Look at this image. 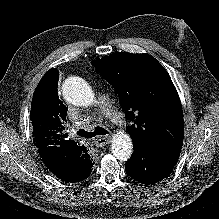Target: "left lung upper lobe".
Listing matches in <instances>:
<instances>
[{
  "label": "left lung upper lobe",
  "instance_id": "left-lung-upper-lobe-1",
  "mask_svg": "<svg viewBox=\"0 0 219 219\" xmlns=\"http://www.w3.org/2000/svg\"><path fill=\"white\" fill-rule=\"evenodd\" d=\"M118 94L133 142L165 151H181L183 112L177 90L165 68L149 54L116 52L92 61Z\"/></svg>",
  "mask_w": 219,
  "mask_h": 219
}]
</instances>
